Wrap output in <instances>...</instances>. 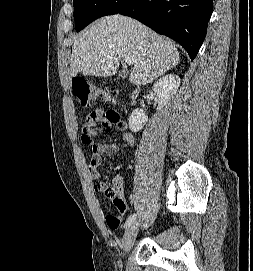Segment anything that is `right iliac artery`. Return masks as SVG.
<instances>
[{"instance_id":"82829eb1","label":"right iliac artery","mask_w":253,"mask_h":271,"mask_svg":"<svg viewBox=\"0 0 253 271\" xmlns=\"http://www.w3.org/2000/svg\"><path fill=\"white\" fill-rule=\"evenodd\" d=\"M135 219H136V214L130 215L126 220L124 227L127 228L128 226H130L135 221Z\"/></svg>"}]
</instances>
